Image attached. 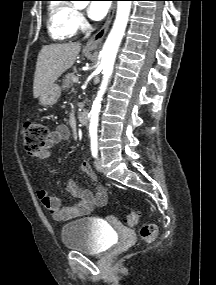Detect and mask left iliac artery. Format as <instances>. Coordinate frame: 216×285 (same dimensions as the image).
<instances>
[{
	"instance_id": "1",
	"label": "left iliac artery",
	"mask_w": 216,
	"mask_h": 285,
	"mask_svg": "<svg viewBox=\"0 0 216 285\" xmlns=\"http://www.w3.org/2000/svg\"><path fill=\"white\" fill-rule=\"evenodd\" d=\"M90 137H91V152H92V156L94 158H96L97 154H98L97 134L96 133H91Z\"/></svg>"
}]
</instances>
